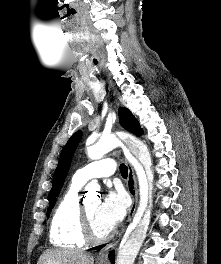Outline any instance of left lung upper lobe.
Instances as JSON below:
<instances>
[{
  "label": "left lung upper lobe",
  "mask_w": 221,
  "mask_h": 264,
  "mask_svg": "<svg viewBox=\"0 0 221 264\" xmlns=\"http://www.w3.org/2000/svg\"><path fill=\"white\" fill-rule=\"evenodd\" d=\"M119 120L122 127H124L126 130L138 135H142L143 130L141 129L136 118L127 108L121 107L119 109ZM81 137H82V132L77 131L68 140L67 144L65 145V147L61 152L59 163L54 173L52 189L49 193V208L47 209V217L50 215L51 209L55 205L56 197L63 186L64 180L71 165L73 154L80 142Z\"/></svg>",
  "instance_id": "1"
}]
</instances>
